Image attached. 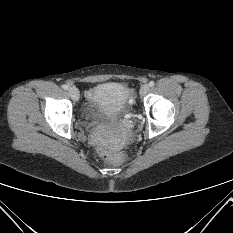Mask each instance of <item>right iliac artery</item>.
Returning a JSON list of instances; mask_svg holds the SVG:
<instances>
[{
	"instance_id": "1",
	"label": "right iliac artery",
	"mask_w": 233,
	"mask_h": 233,
	"mask_svg": "<svg viewBox=\"0 0 233 233\" xmlns=\"http://www.w3.org/2000/svg\"><path fill=\"white\" fill-rule=\"evenodd\" d=\"M64 90H68V86L67 85H63L62 86Z\"/></svg>"
}]
</instances>
